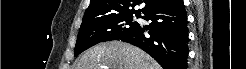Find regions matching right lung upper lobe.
<instances>
[{
    "label": "right lung upper lobe",
    "mask_w": 246,
    "mask_h": 69,
    "mask_svg": "<svg viewBox=\"0 0 246 69\" xmlns=\"http://www.w3.org/2000/svg\"><path fill=\"white\" fill-rule=\"evenodd\" d=\"M165 0H91L83 21H92L113 15L140 14L147 8L161 4ZM143 4V8L134 10V6Z\"/></svg>",
    "instance_id": "right-lung-upper-lobe-1"
}]
</instances>
